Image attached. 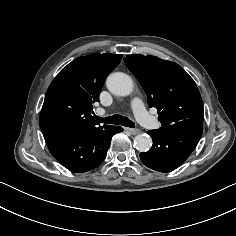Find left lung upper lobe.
I'll return each instance as SVG.
<instances>
[{
  "mask_svg": "<svg viewBox=\"0 0 236 236\" xmlns=\"http://www.w3.org/2000/svg\"><path fill=\"white\" fill-rule=\"evenodd\" d=\"M124 62L157 108L161 131H203L204 109L194 80L178 64L155 56L127 55Z\"/></svg>",
  "mask_w": 236,
  "mask_h": 236,
  "instance_id": "obj_1",
  "label": "left lung upper lobe"
}]
</instances>
